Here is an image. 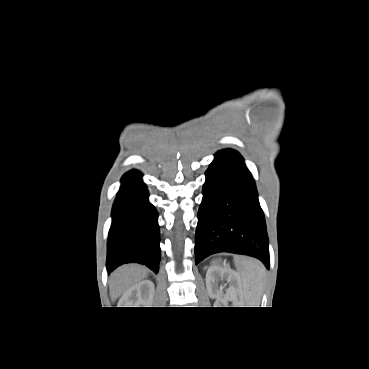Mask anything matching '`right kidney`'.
<instances>
[{"mask_svg":"<svg viewBox=\"0 0 369 369\" xmlns=\"http://www.w3.org/2000/svg\"><path fill=\"white\" fill-rule=\"evenodd\" d=\"M154 291V283L150 280L135 284L123 296L125 307H151Z\"/></svg>","mask_w":369,"mask_h":369,"instance_id":"ca27d5eb","label":"right kidney"}]
</instances>
